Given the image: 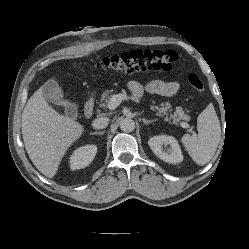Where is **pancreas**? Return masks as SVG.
Listing matches in <instances>:
<instances>
[{"instance_id":"pancreas-1","label":"pancreas","mask_w":249,"mask_h":249,"mask_svg":"<svg viewBox=\"0 0 249 249\" xmlns=\"http://www.w3.org/2000/svg\"><path fill=\"white\" fill-rule=\"evenodd\" d=\"M112 92L113 90H106L103 92L102 97H101V104L100 107H107L108 102L110 98L112 97ZM151 109L153 111H156V115L159 117H165V121L171 122L173 124H178L180 120H189L190 117L186 114L184 109L182 107H176L175 112L172 114L171 113V104L166 102V103H161L159 106L153 105L151 106ZM170 113V114H169Z\"/></svg>"}]
</instances>
